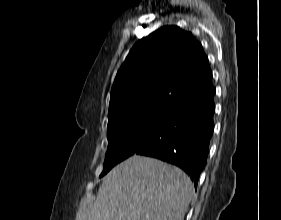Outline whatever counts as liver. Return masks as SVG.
Listing matches in <instances>:
<instances>
[{
    "label": "liver",
    "mask_w": 281,
    "mask_h": 220,
    "mask_svg": "<svg viewBox=\"0 0 281 220\" xmlns=\"http://www.w3.org/2000/svg\"><path fill=\"white\" fill-rule=\"evenodd\" d=\"M194 187L180 168L134 155L104 178L76 220H184Z\"/></svg>",
    "instance_id": "obj_1"
}]
</instances>
